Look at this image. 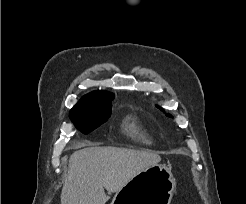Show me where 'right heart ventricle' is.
<instances>
[{"label": "right heart ventricle", "mask_w": 246, "mask_h": 204, "mask_svg": "<svg viewBox=\"0 0 246 204\" xmlns=\"http://www.w3.org/2000/svg\"><path fill=\"white\" fill-rule=\"evenodd\" d=\"M124 130L125 133L133 139L139 140L145 144L151 143V138L147 131L132 119H128L125 121Z\"/></svg>", "instance_id": "e07e8e85"}]
</instances>
